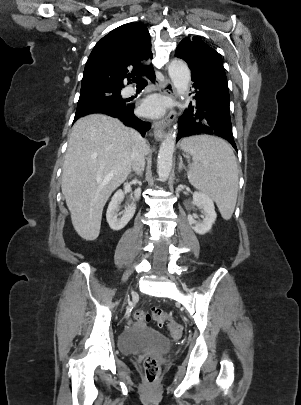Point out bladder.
Wrapping results in <instances>:
<instances>
[{
  "label": "bladder",
  "instance_id": "obj_1",
  "mask_svg": "<svg viewBox=\"0 0 301 405\" xmlns=\"http://www.w3.org/2000/svg\"><path fill=\"white\" fill-rule=\"evenodd\" d=\"M118 346L125 354L147 351L165 354L171 349L169 341L162 334L142 325L126 329L119 338Z\"/></svg>",
  "mask_w": 301,
  "mask_h": 405
}]
</instances>
